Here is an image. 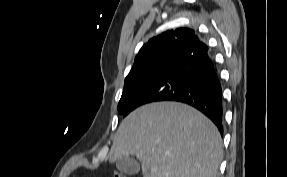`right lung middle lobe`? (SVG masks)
<instances>
[{"label":"right lung middle lobe","instance_id":"obj_1","mask_svg":"<svg viewBox=\"0 0 287 177\" xmlns=\"http://www.w3.org/2000/svg\"><path fill=\"white\" fill-rule=\"evenodd\" d=\"M178 57H168L138 70L125 79L124 90L118 104V112L124 113L133 101L158 77L180 63Z\"/></svg>","mask_w":287,"mask_h":177}]
</instances>
